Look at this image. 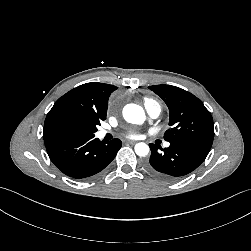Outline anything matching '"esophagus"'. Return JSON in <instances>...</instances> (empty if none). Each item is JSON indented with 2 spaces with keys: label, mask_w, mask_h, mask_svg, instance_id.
I'll return each instance as SVG.
<instances>
[{
  "label": "esophagus",
  "mask_w": 251,
  "mask_h": 251,
  "mask_svg": "<svg viewBox=\"0 0 251 251\" xmlns=\"http://www.w3.org/2000/svg\"><path fill=\"white\" fill-rule=\"evenodd\" d=\"M126 143H128V144H135V143H136V141H133V140H128V141H126Z\"/></svg>",
  "instance_id": "obj_1"
}]
</instances>
